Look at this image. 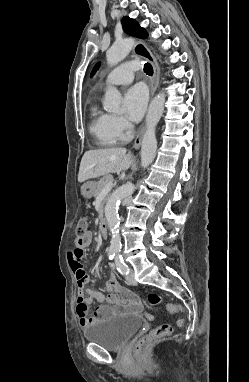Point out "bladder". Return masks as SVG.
<instances>
[{
	"label": "bladder",
	"instance_id": "bladder-1",
	"mask_svg": "<svg viewBox=\"0 0 249 382\" xmlns=\"http://www.w3.org/2000/svg\"><path fill=\"white\" fill-rule=\"evenodd\" d=\"M143 324V319L139 316L119 315L87 326L83 335L86 341L96 343L107 350H121Z\"/></svg>",
	"mask_w": 249,
	"mask_h": 382
}]
</instances>
